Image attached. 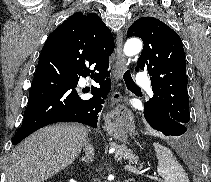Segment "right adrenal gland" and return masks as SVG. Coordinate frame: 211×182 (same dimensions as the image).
Wrapping results in <instances>:
<instances>
[{"mask_svg":"<svg viewBox=\"0 0 211 182\" xmlns=\"http://www.w3.org/2000/svg\"><path fill=\"white\" fill-rule=\"evenodd\" d=\"M84 151H85V156H83V157L81 158V161H82V162H85V163H89V161L92 160V156H93V147H92V145L89 143V140H87V141L85 142V149H84Z\"/></svg>","mask_w":211,"mask_h":182,"instance_id":"2a0ac1e0","label":"right adrenal gland"}]
</instances>
